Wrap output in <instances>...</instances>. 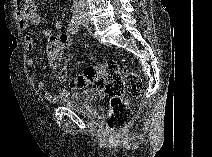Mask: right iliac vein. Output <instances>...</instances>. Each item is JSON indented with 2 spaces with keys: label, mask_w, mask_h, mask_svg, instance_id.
<instances>
[{
  "label": "right iliac vein",
  "mask_w": 212,
  "mask_h": 157,
  "mask_svg": "<svg viewBox=\"0 0 212 157\" xmlns=\"http://www.w3.org/2000/svg\"><path fill=\"white\" fill-rule=\"evenodd\" d=\"M82 19H83L82 16L77 17L78 22H79L80 20H82Z\"/></svg>",
  "instance_id": "obj_1"
}]
</instances>
